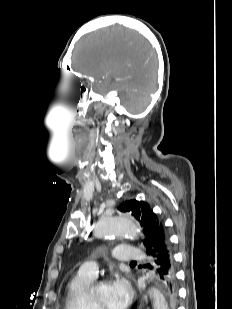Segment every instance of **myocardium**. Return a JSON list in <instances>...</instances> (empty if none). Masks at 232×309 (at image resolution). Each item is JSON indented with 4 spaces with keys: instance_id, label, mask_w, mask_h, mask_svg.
Masks as SVG:
<instances>
[{
    "instance_id": "1",
    "label": "myocardium",
    "mask_w": 232,
    "mask_h": 309,
    "mask_svg": "<svg viewBox=\"0 0 232 309\" xmlns=\"http://www.w3.org/2000/svg\"><path fill=\"white\" fill-rule=\"evenodd\" d=\"M102 283H109L108 279H104ZM92 303L95 307V309H106L104 306L101 305V303L96 299L94 294H91Z\"/></svg>"
}]
</instances>
